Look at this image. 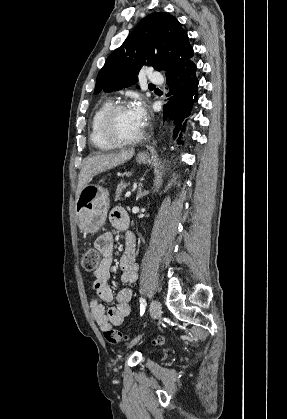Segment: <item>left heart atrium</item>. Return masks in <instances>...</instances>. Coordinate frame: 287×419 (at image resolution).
<instances>
[{
    "mask_svg": "<svg viewBox=\"0 0 287 419\" xmlns=\"http://www.w3.org/2000/svg\"><path fill=\"white\" fill-rule=\"evenodd\" d=\"M130 110L136 120L143 126L146 120V107L143 101L136 99L130 107Z\"/></svg>",
    "mask_w": 287,
    "mask_h": 419,
    "instance_id": "1",
    "label": "left heart atrium"
}]
</instances>
